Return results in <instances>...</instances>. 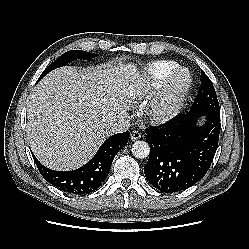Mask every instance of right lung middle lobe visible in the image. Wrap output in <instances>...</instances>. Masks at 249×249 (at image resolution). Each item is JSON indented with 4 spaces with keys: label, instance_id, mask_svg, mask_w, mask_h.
Here are the masks:
<instances>
[{
    "label": "right lung middle lobe",
    "instance_id": "right-lung-middle-lobe-1",
    "mask_svg": "<svg viewBox=\"0 0 249 249\" xmlns=\"http://www.w3.org/2000/svg\"><path fill=\"white\" fill-rule=\"evenodd\" d=\"M97 54L95 53H89L82 50H71L63 55H61L57 60H55L53 63H51L41 74L40 78L44 77L46 74H48L50 71H52L55 68L62 67L67 65L69 62L75 60V59H83V60H92V58L96 57Z\"/></svg>",
    "mask_w": 249,
    "mask_h": 249
}]
</instances>
